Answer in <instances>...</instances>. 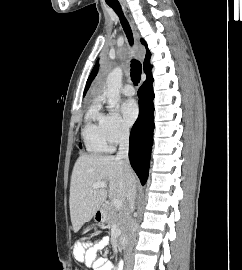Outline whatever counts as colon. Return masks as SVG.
I'll use <instances>...</instances> for the list:
<instances>
[{
	"mask_svg": "<svg viewBox=\"0 0 242 270\" xmlns=\"http://www.w3.org/2000/svg\"><path fill=\"white\" fill-rule=\"evenodd\" d=\"M79 270H85V269H83V268H80Z\"/></svg>",
	"mask_w": 242,
	"mask_h": 270,
	"instance_id": "5ec220e1",
	"label": "colon"
}]
</instances>
